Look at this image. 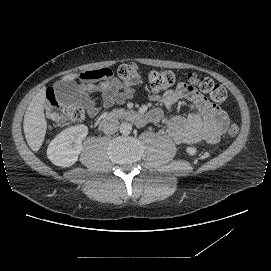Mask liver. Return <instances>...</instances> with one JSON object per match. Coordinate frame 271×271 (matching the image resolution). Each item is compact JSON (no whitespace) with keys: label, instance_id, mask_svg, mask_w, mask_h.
I'll use <instances>...</instances> for the list:
<instances>
[{"label":"liver","instance_id":"obj_1","mask_svg":"<svg viewBox=\"0 0 271 271\" xmlns=\"http://www.w3.org/2000/svg\"><path fill=\"white\" fill-rule=\"evenodd\" d=\"M73 75L66 76L71 78ZM46 88H41L31 100L23 121V128L26 141L30 148L37 152L44 140L46 132V121L43 115Z\"/></svg>","mask_w":271,"mask_h":271}]
</instances>
